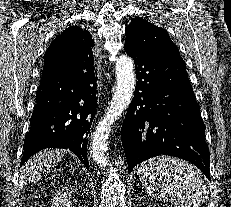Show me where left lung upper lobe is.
I'll use <instances>...</instances> for the list:
<instances>
[{
  "instance_id": "left-lung-upper-lobe-1",
  "label": "left lung upper lobe",
  "mask_w": 231,
  "mask_h": 207,
  "mask_svg": "<svg viewBox=\"0 0 231 207\" xmlns=\"http://www.w3.org/2000/svg\"><path fill=\"white\" fill-rule=\"evenodd\" d=\"M125 51L130 54L148 53L164 58H181L168 33L137 17L125 29Z\"/></svg>"
}]
</instances>
